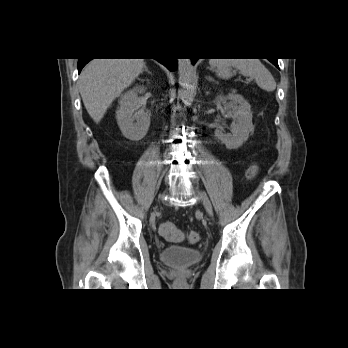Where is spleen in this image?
<instances>
[{
    "label": "spleen",
    "instance_id": "3e777b00",
    "mask_svg": "<svg viewBox=\"0 0 348 348\" xmlns=\"http://www.w3.org/2000/svg\"><path fill=\"white\" fill-rule=\"evenodd\" d=\"M210 65L215 69L217 76L222 79L232 77V68L246 77L255 79L257 85L267 91L276 89V82L270 71L260 62L259 59H211Z\"/></svg>",
    "mask_w": 348,
    "mask_h": 348
}]
</instances>
